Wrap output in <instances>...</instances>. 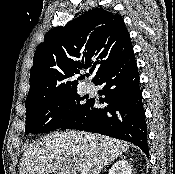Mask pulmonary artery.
Returning <instances> with one entry per match:
<instances>
[{
    "label": "pulmonary artery",
    "instance_id": "pulmonary-artery-1",
    "mask_svg": "<svg viewBox=\"0 0 175 174\" xmlns=\"http://www.w3.org/2000/svg\"><path fill=\"white\" fill-rule=\"evenodd\" d=\"M85 88H86L87 91H92V90H93V85L87 84V85L85 86Z\"/></svg>",
    "mask_w": 175,
    "mask_h": 174
}]
</instances>
